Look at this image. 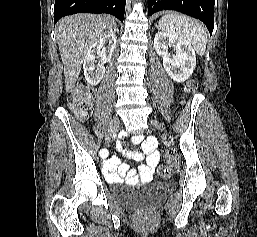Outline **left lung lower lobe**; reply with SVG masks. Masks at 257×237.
Wrapping results in <instances>:
<instances>
[{
  "label": "left lung lower lobe",
  "instance_id": "obj_1",
  "mask_svg": "<svg viewBox=\"0 0 257 237\" xmlns=\"http://www.w3.org/2000/svg\"><path fill=\"white\" fill-rule=\"evenodd\" d=\"M161 10H175L200 19L210 35L214 28V0H149L148 15Z\"/></svg>",
  "mask_w": 257,
  "mask_h": 237
}]
</instances>
